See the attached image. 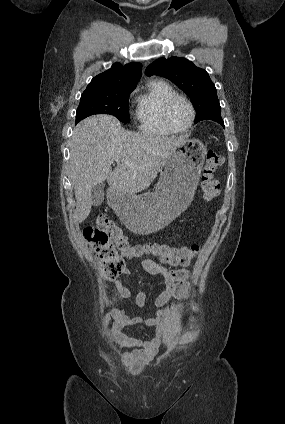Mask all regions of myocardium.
<instances>
[{
	"label": "myocardium",
	"mask_w": 285,
	"mask_h": 424,
	"mask_svg": "<svg viewBox=\"0 0 285 424\" xmlns=\"http://www.w3.org/2000/svg\"><path fill=\"white\" fill-rule=\"evenodd\" d=\"M178 100H182V101H184V102L188 105V107H189V109H190V112H191V119H190V123H189V125H188L185 129H183V130L176 129V128H175V127L171 124V122H170V118H169L170 109H171L172 105H173L176 101H178ZM162 116H163V122H164L165 126H166V127H167V128H168L171 132H172V133H176V134H185V133H188V132L192 129L193 125H194V122H195V119H196V110H195V107H194L193 103L191 102V100H190L189 98H187V97H185V96H183V95L176 94V95H174L173 97H171V98H170V99L166 102V104L164 105Z\"/></svg>",
	"instance_id": "myocardium-1"
}]
</instances>
